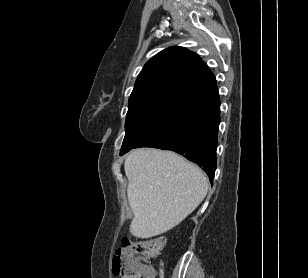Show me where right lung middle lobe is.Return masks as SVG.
Instances as JSON below:
<instances>
[{
	"label": "right lung middle lobe",
	"mask_w": 308,
	"mask_h": 278,
	"mask_svg": "<svg viewBox=\"0 0 308 278\" xmlns=\"http://www.w3.org/2000/svg\"><path fill=\"white\" fill-rule=\"evenodd\" d=\"M177 113L151 112L126 118L125 138L120 155L142 143L144 140L162 129Z\"/></svg>",
	"instance_id": "obj_1"
}]
</instances>
